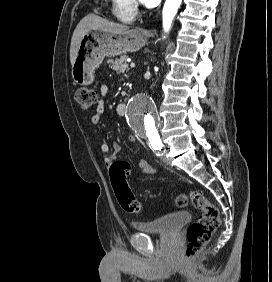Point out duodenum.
I'll return each instance as SVG.
<instances>
[{
    "mask_svg": "<svg viewBox=\"0 0 272 282\" xmlns=\"http://www.w3.org/2000/svg\"><path fill=\"white\" fill-rule=\"evenodd\" d=\"M120 107H121V108H126V107H127V104H126V103H120Z\"/></svg>",
    "mask_w": 272,
    "mask_h": 282,
    "instance_id": "1",
    "label": "duodenum"
}]
</instances>
